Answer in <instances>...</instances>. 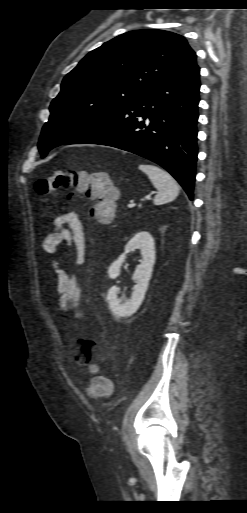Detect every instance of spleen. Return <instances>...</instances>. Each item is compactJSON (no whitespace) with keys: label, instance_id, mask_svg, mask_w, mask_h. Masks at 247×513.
Returning <instances> with one entry per match:
<instances>
[{"label":"spleen","instance_id":"spleen-1","mask_svg":"<svg viewBox=\"0 0 247 513\" xmlns=\"http://www.w3.org/2000/svg\"><path fill=\"white\" fill-rule=\"evenodd\" d=\"M138 168L148 175L152 184L158 190L153 200L155 205L171 202L178 196L179 186L168 172L150 164H140Z\"/></svg>","mask_w":247,"mask_h":513}]
</instances>
